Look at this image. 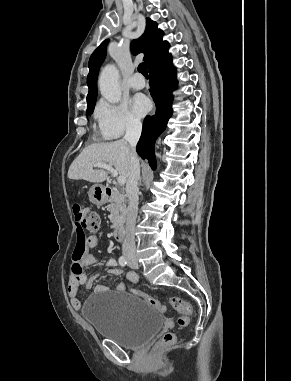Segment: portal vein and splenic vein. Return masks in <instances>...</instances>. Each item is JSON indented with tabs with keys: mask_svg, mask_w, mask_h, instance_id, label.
I'll list each match as a JSON object with an SVG mask.
<instances>
[{
	"mask_svg": "<svg viewBox=\"0 0 291 381\" xmlns=\"http://www.w3.org/2000/svg\"><path fill=\"white\" fill-rule=\"evenodd\" d=\"M94 167L104 168V169H106L107 171H109L113 176H115V177L118 176L117 171H116L112 166H110V165H108V164H106V163H96V164L94 165ZM117 181H118L119 184L123 185V184H125L126 179L123 178V177H118V178H117Z\"/></svg>",
	"mask_w": 291,
	"mask_h": 381,
	"instance_id": "18ae733b",
	"label": "portal vein and splenic vein"
}]
</instances>
